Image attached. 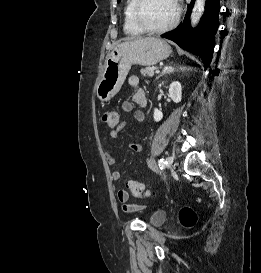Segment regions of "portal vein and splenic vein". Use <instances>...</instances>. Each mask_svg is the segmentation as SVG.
Segmentation results:
<instances>
[{
  "label": "portal vein and splenic vein",
  "instance_id": "18ae733b",
  "mask_svg": "<svg viewBox=\"0 0 261 273\" xmlns=\"http://www.w3.org/2000/svg\"><path fill=\"white\" fill-rule=\"evenodd\" d=\"M160 71L159 70H156V73H159Z\"/></svg>",
  "mask_w": 261,
  "mask_h": 273
}]
</instances>
